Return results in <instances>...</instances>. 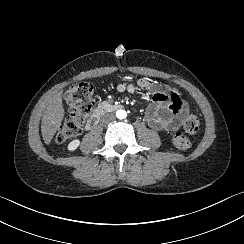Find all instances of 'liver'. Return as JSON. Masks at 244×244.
<instances>
[{
    "label": "liver",
    "instance_id": "1",
    "mask_svg": "<svg viewBox=\"0 0 244 244\" xmlns=\"http://www.w3.org/2000/svg\"><path fill=\"white\" fill-rule=\"evenodd\" d=\"M64 117L61 92L54 94L42 118L41 132L46 144H50Z\"/></svg>",
    "mask_w": 244,
    "mask_h": 244
}]
</instances>
